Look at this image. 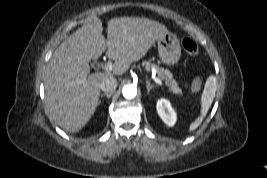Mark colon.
Instances as JSON below:
<instances>
[{
    "label": "colon",
    "mask_w": 267,
    "mask_h": 178,
    "mask_svg": "<svg viewBox=\"0 0 267 178\" xmlns=\"http://www.w3.org/2000/svg\"><path fill=\"white\" fill-rule=\"evenodd\" d=\"M182 46L183 49L185 50V52L191 56H195L198 54V46L197 44L190 38H183L182 39ZM201 87V81L200 79L196 78L193 82H192V88L194 90H198Z\"/></svg>",
    "instance_id": "5ec220e1"
}]
</instances>
